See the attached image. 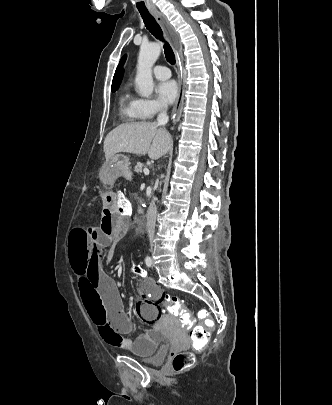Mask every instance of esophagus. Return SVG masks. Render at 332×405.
Here are the masks:
<instances>
[{"instance_id": "34e87169", "label": "esophagus", "mask_w": 332, "mask_h": 405, "mask_svg": "<svg viewBox=\"0 0 332 405\" xmlns=\"http://www.w3.org/2000/svg\"><path fill=\"white\" fill-rule=\"evenodd\" d=\"M153 15L155 16L157 22L161 26L166 38L172 45L175 53H176V58H177V64L180 70L179 74V94L177 101L175 103V106L172 111V122L173 124H176L182 114V108H183V100H184V80H183V75H182V63H183V55H182V45L180 43L179 35L177 32L174 30V28L171 26L169 21L167 20L166 16L159 12L158 10H153L152 11Z\"/></svg>"}]
</instances>
